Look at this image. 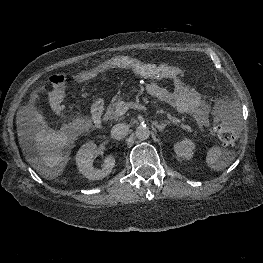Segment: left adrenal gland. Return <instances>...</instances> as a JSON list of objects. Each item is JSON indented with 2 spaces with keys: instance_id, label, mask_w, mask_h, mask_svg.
Wrapping results in <instances>:
<instances>
[{
  "instance_id": "a2214340",
  "label": "left adrenal gland",
  "mask_w": 263,
  "mask_h": 263,
  "mask_svg": "<svg viewBox=\"0 0 263 263\" xmlns=\"http://www.w3.org/2000/svg\"><path fill=\"white\" fill-rule=\"evenodd\" d=\"M170 122H161L160 124H158V122L154 121L152 124L155 125V127L160 131V132H163L165 127L167 125H169Z\"/></svg>"
}]
</instances>
